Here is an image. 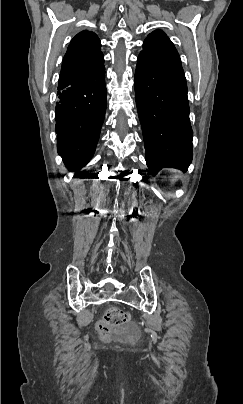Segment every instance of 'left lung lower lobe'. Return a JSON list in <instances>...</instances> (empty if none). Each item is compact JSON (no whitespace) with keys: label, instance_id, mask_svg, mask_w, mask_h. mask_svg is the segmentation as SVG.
Returning <instances> with one entry per match:
<instances>
[{"label":"left lung lower lobe","instance_id":"0a47b994","mask_svg":"<svg viewBox=\"0 0 243 404\" xmlns=\"http://www.w3.org/2000/svg\"><path fill=\"white\" fill-rule=\"evenodd\" d=\"M135 97L150 173L162 168L186 171L193 156V131L183 69L139 54Z\"/></svg>","mask_w":243,"mask_h":404}]
</instances>
